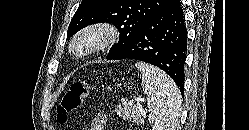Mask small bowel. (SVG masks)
Masks as SVG:
<instances>
[{"label":"small bowel","mask_w":249,"mask_h":130,"mask_svg":"<svg viewBox=\"0 0 249 130\" xmlns=\"http://www.w3.org/2000/svg\"><path fill=\"white\" fill-rule=\"evenodd\" d=\"M106 125V117L102 113H97L91 123L89 130H104Z\"/></svg>","instance_id":"c3829d8e"}]
</instances>
